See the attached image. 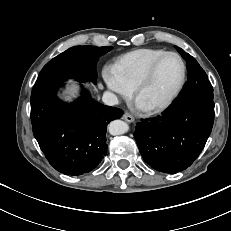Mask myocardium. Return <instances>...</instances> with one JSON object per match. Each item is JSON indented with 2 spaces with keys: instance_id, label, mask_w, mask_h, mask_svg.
I'll list each match as a JSON object with an SVG mask.
<instances>
[{
  "instance_id": "1",
  "label": "myocardium",
  "mask_w": 231,
  "mask_h": 231,
  "mask_svg": "<svg viewBox=\"0 0 231 231\" xmlns=\"http://www.w3.org/2000/svg\"><path fill=\"white\" fill-rule=\"evenodd\" d=\"M169 56H175L176 58H178V60L181 63L182 70H181V77H180L179 83L176 86V88L164 100H162L161 102L157 104L146 107L145 110L148 112H159L167 108L177 98V96L180 94V92L182 91L184 87V84L186 81V75H187L186 63L180 54L173 52V51H167L161 56H159L158 58H156L151 63V65L147 68L143 76L140 78V80L137 82V84L134 87V95L136 98H138L140 93L144 90V88L149 84V82L153 78L159 64L166 57H169Z\"/></svg>"
}]
</instances>
